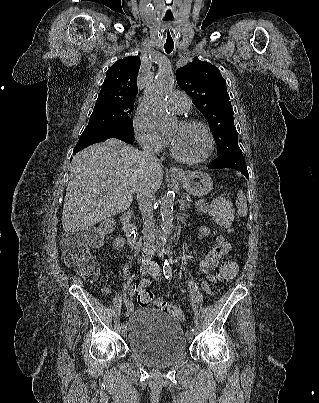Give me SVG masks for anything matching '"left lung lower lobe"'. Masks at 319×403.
<instances>
[{
    "instance_id": "1",
    "label": "left lung lower lobe",
    "mask_w": 319,
    "mask_h": 403,
    "mask_svg": "<svg viewBox=\"0 0 319 403\" xmlns=\"http://www.w3.org/2000/svg\"><path fill=\"white\" fill-rule=\"evenodd\" d=\"M211 169L231 168L240 171L246 178H249L245 158L242 154L230 153L223 157H217L207 166Z\"/></svg>"
}]
</instances>
